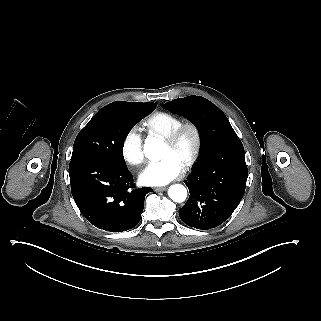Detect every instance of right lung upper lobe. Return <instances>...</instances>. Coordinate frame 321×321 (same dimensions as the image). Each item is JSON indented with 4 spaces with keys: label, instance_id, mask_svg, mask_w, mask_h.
Instances as JSON below:
<instances>
[{
    "label": "right lung upper lobe",
    "instance_id": "1",
    "mask_svg": "<svg viewBox=\"0 0 321 321\" xmlns=\"http://www.w3.org/2000/svg\"><path fill=\"white\" fill-rule=\"evenodd\" d=\"M126 103H129V107L132 108V109L137 108L142 104H146V103H142V102H126Z\"/></svg>",
    "mask_w": 321,
    "mask_h": 321
}]
</instances>
